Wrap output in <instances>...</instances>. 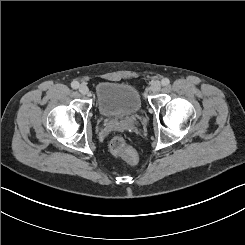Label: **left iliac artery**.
Here are the masks:
<instances>
[{
	"label": "left iliac artery",
	"instance_id": "1",
	"mask_svg": "<svg viewBox=\"0 0 245 245\" xmlns=\"http://www.w3.org/2000/svg\"><path fill=\"white\" fill-rule=\"evenodd\" d=\"M161 83H162L163 86H167V85L170 84V80L168 78H163L161 80Z\"/></svg>",
	"mask_w": 245,
	"mask_h": 245
}]
</instances>
